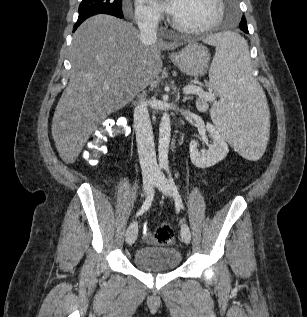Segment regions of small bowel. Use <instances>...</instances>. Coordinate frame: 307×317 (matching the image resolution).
<instances>
[{
    "instance_id": "small-bowel-1",
    "label": "small bowel",
    "mask_w": 307,
    "mask_h": 317,
    "mask_svg": "<svg viewBox=\"0 0 307 317\" xmlns=\"http://www.w3.org/2000/svg\"><path fill=\"white\" fill-rule=\"evenodd\" d=\"M143 233H144L145 236H147L146 228H144Z\"/></svg>"
}]
</instances>
